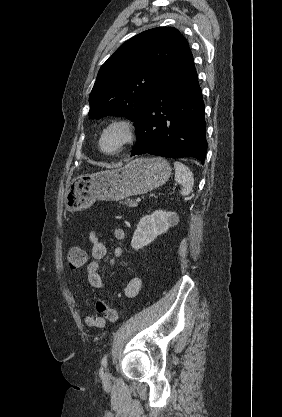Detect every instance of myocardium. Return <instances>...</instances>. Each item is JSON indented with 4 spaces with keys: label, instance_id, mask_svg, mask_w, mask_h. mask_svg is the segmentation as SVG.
Listing matches in <instances>:
<instances>
[{
    "label": "myocardium",
    "instance_id": "obj_1",
    "mask_svg": "<svg viewBox=\"0 0 282 417\" xmlns=\"http://www.w3.org/2000/svg\"><path fill=\"white\" fill-rule=\"evenodd\" d=\"M110 133H118L120 136L116 146L112 149L113 152L119 151L126 144L130 143L133 138V128L131 123L127 120L115 121L105 128L101 135V143L104 137Z\"/></svg>",
    "mask_w": 282,
    "mask_h": 417
}]
</instances>
